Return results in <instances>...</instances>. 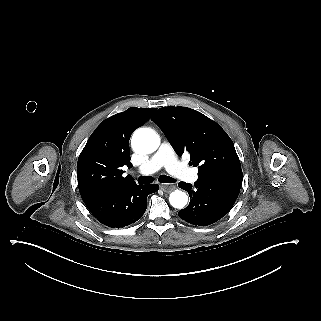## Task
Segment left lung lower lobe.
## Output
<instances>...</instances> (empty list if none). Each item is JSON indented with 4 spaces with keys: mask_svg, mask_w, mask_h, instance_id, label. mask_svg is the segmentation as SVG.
<instances>
[{
    "mask_svg": "<svg viewBox=\"0 0 321 321\" xmlns=\"http://www.w3.org/2000/svg\"><path fill=\"white\" fill-rule=\"evenodd\" d=\"M198 177L194 187L179 182V187L188 192L191 201L178 216L192 225L207 226L231 210L239 195L243 174L242 169L220 170Z\"/></svg>",
    "mask_w": 321,
    "mask_h": 321,
    "instance_id": "left-lung-lower-lobe-1",
    "label": "left lung lower lobe"
}]
</instances>
